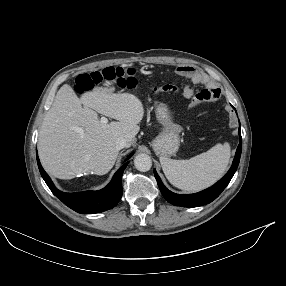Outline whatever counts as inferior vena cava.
Returning <instances> with one entry per match:
<instances>
[{
    "label": "inferior vena cava",
    "instance_id": "1",
    "mask_svg": "<svg viewBox=\"0 0 286 286\" xmlns=\"http://www.w3.org/2000/svg\"><path fill=\"white\" fill-rule=\"evenodd\" d=\"M126 147H128V143H127L126 139L120 138L117 140V142H116V149L117 150H121V149L126 148Z\"/></svg>",
    "mask_w": 286,
    "mask_h": 286
}]
</instances>
